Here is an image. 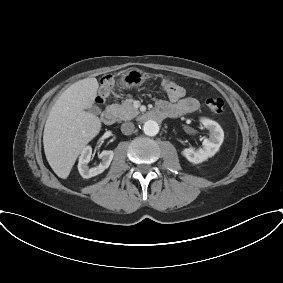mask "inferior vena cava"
Returning <instances> with one entry per match:
<instances>
[{"label":"inferior vena cava","instance_id":"obj_1","mask_svg":"<svg viewBox=\"0 0 283 283\" xmlns=\"http://www.w3.org/2000/svg\"><path fill=\"white\" fill-rule=\"evenodd\" d=\"M135 126L132 122H125L121 125V131L125 135H130L134 131Z\"/></svg>","mask_w":283,"mask_h":283}]
</instances>
